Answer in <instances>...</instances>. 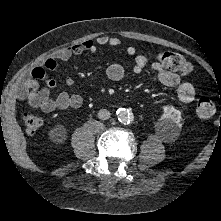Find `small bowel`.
<instances>
[{"label":"small bowel","mask_w":221,"mask_h":221,"mask_svg":"<svg viewBox=\"0 0 221 221\" xmlns=\"http://www.w3.org/2000/svg\"><path fill=\"white\" fill-rule=\"evenodd\" d=\"M122 40L117 36L102 35L96 39H88L70 47L57 50L41 65L34 68L29 77L25 78L18 88L19 99L25 100L31 108L40 109L44 112L55 110H68L79 108L82 105V97L78 94L61 92L57 96L52 95V90L56 87V81L49 76V71H57L60 61H66L74 55L83 53H97L99 46L119 47ZM129 55L136 54V48L129 46L126 49ZM148 64L146 56L138 54L135 56L133 71L142 72ZM158 81L168 87L175 88L182 103L188 104L195 98V88L189 82L182 81L181 77L172 71L165 69L159 62L151 64ZM107 77L114 82L121 81L125 76V69L119 63H113L106 69ZM40 82H44L46 87L40 88ZM66 85H72L73 79L66 77Z\"/></svg>","instance_id":"1"}]
</instances>
